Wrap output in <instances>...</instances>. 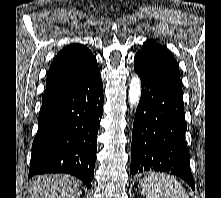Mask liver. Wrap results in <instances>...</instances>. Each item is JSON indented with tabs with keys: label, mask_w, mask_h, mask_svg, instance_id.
<instances>
[{
	"label": "liver",
	"mask_w": 221,
	"mask_h": 198,
	"mask_svg": "<svg viewBox=\"0 0 221 198\" xmlns=\"http://www.w3.org/2000/svg\"><path fill=\"white\" fill-rule=\"evenodd\" d=\"M29 198H80L79 181L69 175L36 176L28 187Z\"/></svg>",
	"instance_id": "obj_1"
}]
</instances>
